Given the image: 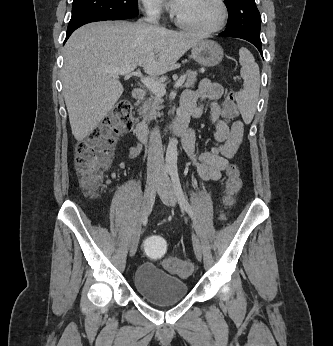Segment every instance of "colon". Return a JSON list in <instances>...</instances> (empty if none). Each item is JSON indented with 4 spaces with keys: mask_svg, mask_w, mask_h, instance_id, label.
Wrapping results in <instances>:
<instances>
[{
    "mask_svg": "<svg viewBox=\"0 0 333 346\" xmlns=\"http://www.w3.org/2000/svg\"><path fill=\"white\" fill-rule=\"evenodd\" d=\"M223 115L225 119L232 120L238 115L235 103V94L229 91L224 102ZM132 106L127 100L119 101L112 114L88 137L79 142L76 147L75 166L80 186L88 194L94 195L98 190L105 172L111 162L113 149L119 134L128 132L132 128ZM242 186L240 170L236 165L227 169L225 182V203L231 206ZM144 256L149 260H163L167 255L165 249L167 242L161 233H148L143 236ZM162 266L167 271L180 277H188L194 271V266L189 261H182L175 257L166 258Z\"/></svg>",
    "mask_w": 333,
    "mask_h": 346,
    "instance_id": "obj_1",
    "label": "colon"
}]
</instances>
